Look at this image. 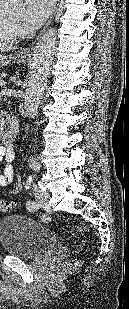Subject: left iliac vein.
Listing matches in <instances>:
<instances>
[{"instance_id":"obj_1","label":"left iliac vein","mask_w":129,"mask_h":309,"mask_svg":"<svg viewBox=\"0 0 129 309\" xmlns=\"http://www.w3.org/2000/svg\"><path fill=\"white\" fill-rule=\"evenodd\" d=\"M33 192L36 197L37 208H43L47 213H51L52 210L48 204L50 198L49 193L40 189L37 184H33Z\"/></svg>"}]
</instances>
